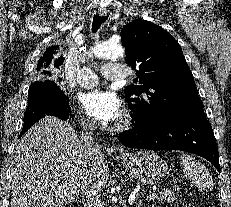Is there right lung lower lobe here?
Returning a JSON list of instances; mask_svg holds the SVG:
<instances>
[{"mask_svg":"<svg viewBox=\"0 0 231 207\" xmlns=\"http://www.w3.org/2000/svg\"><path fill=\"white\" fill-rule=\"evenodd\" d=\"M45 115L55 116L64 121L72 117L67 98L52 81L43 82L35 88V96L29 100L24 113V126L19 137Z\"/></svg>","mask_w":231,"mask_h":207,"instance_id":"obj_1","label":"right lung lower lobe"}]
</instances>
